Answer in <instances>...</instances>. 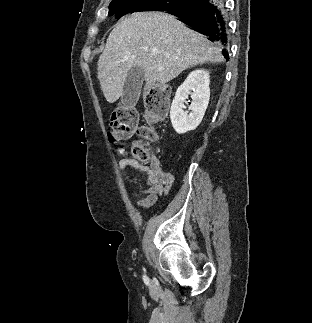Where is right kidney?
<instances>
[{
    "mask_svg": "<svg viewBox=\"0 0 312 323\" xmlns=\"http://www.w3.org/2000/svg\"><path fill=\"white\" fill-rule=\"evenodd\" d=\"M210 80L207 70L198 68L190 72L182 86H179L170 110L171 124L177 134H186L196 130L207 110L210 100ZM191 96L192 102L189 106L191 112H184Z\"/></svg>",
    "mask_w": 312,
    "mask_h": 323,
    "instance_id": "obj_1",
    "label": "right kidney"
}]
</instances>
